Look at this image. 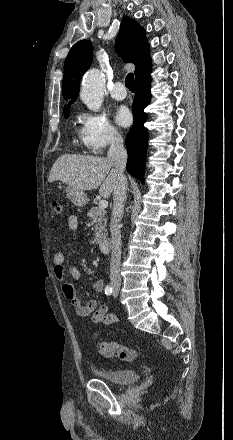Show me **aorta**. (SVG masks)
I'll return each mask as SVG.
<instances>
[{
	"label": "aorta",
	"mask_w": 233,
	"mask_h": 440,
	"mask_svg": "<svg viewBox=\"0 0 233 440\" xmlns=\"http://www.w3.org/2000/svg\"><path fill=\"white\" fill-rule=\"evenodd\" d=\"M104 91L103 74L97 69L88 71L82 80L81 100L89 109L98 111L103 102Z\"/></svg>",
	"instance_id": "762f6f07"
}]
</instances>
